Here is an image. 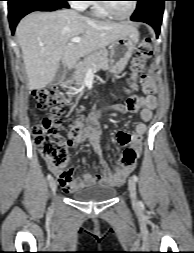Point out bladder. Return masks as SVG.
Here are the masks:
<instances>
[{
	"label": "bladder",
	"mask_w": 194,
	"mask_h": 253,
	"mask_svg": "<svg viewBox=\"0 0 194 253\" xmlns=\"http://www.w3.org/2000/svg\"><path fill=\"white\" fill-rule=\"evenodd\" d=\"M116 192V189L111 185L97 184L75 191L72 198L81 203H99L111 200Z\"/></svg>",
	"instance_id": "1"
}]
</instances>
